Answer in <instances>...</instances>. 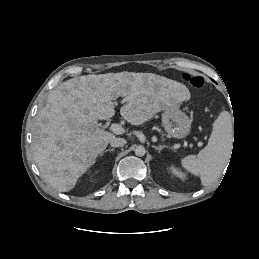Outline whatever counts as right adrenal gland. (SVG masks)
<instances>
[{
  "label": "right adrenal gland",
  "instance_id": "1",
  "mask_svg": "<svg viewBox=\"0 0 259 259\" xmlns=\"http://www.w3.org/2000/svg\"><path fill=\"white\" fill-rule=\"evenodd\" d=\"M115 151V148L106 149L105 152H113Z\"/></svg>",
  "mask_w": 259,
  "mask_h": 259
}]
</instances>
